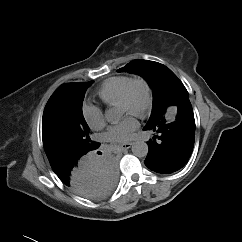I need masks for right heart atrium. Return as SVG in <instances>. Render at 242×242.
I'll return each mask as SVG.
<instances>
[{"instance_id":"right-heart-atrium-1","label":"right heart atrium","mask_w":242,"mask_h":242,"mask_svg":"<svg viewBox=\"0 0 242 242\" xmlns=\"http://www.w3.org/2000/svg\"><path fill=\"white\" fill-rule=\"evenodd\" d=\"M81 115L85 123L92 130L101 129L105 124L102 109L94 104L84 102L81 106Z\"/></svg>"}]
</instances>
